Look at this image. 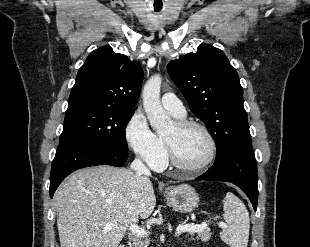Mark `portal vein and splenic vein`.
Segmentation results:
<instances>
[{"mask_svg":"<svg viewBox=\"0 0 310 247\" xmlns=\"http://www.w3.org/2000/svg\"><path fill=\"white\" fill-rule=\"evenodd\" d=\"M220 225L224 226L223 223H220ZM112 226H113V223L107 224L104 227L103 231L104 232L109 231L112 228ZM206 227H207L206 223L179 225L177 227V230H176V235H180L182 232H199V231L205 229ZM129 229L131 232H133L137 236H141V237L147 236V232L143 228H141L140 226H138L136 224H131Z\"/></svg>","mask_w":310,"mask_h":247,"instance_id":"portal-vein-and-splenic-vein-1","label":"portal vein and splenic vein"}]
</instances>
